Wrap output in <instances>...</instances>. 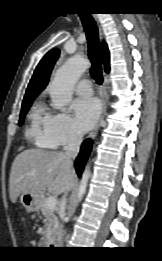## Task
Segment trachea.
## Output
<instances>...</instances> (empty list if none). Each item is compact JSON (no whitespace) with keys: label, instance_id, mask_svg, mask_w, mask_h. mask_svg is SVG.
I'll return each mask as SVG.
<instances>
[{"label":"trachea","instance_id":"3493384b","mask_svg":"<svg viewBox=\"0 0 162 261\" xmlns=\"http://www.w3.org/2000/svg\"><path fill=\"white\" fill-rule=\"evenodd\" d=\"M79 16L87 36L89 59L92 63L90 73L97 84L101 85L103 77L100 60L98 27L89 13H80Z\"/></svg>","mask_w":162,"mask_h":261}]
</instances>
